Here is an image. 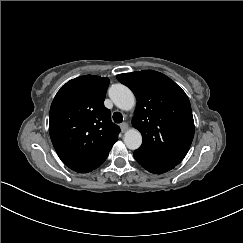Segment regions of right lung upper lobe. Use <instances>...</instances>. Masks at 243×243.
Listing matches in <instances>:
<instances>
[{
	"label": "right lung upper lobe",
	"mask_w": 243,
	"mask_h": 243,
	"mask_svg": "<svg viewBox=\"0 0 243 243\" xmlns=\"http://www.w3.org/2000/svg\"><path fill=\"white\" fill-rule=\"evenodd\" d=\"M109 79L80 76L63 85L49 113V132L60 159L87 173L100 166L118 140L119 126L104 106Z\"/></svg>",
	"instance_id": "obj_1"
}]
</instances>
